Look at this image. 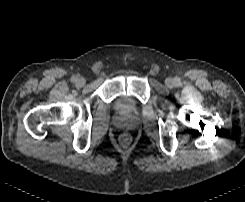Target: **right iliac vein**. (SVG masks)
Here are the masks:
<instances>
[{"label":"right iliac vein","mask_w":245,"mask_h":202,"mask_svg":"<svg viewBox=\"0 0 245 202\" xmlns=\"http://www.w3.org/2000/svg\"><path fill=\"white\" fill-rule=\"evenodd\" d=\"M85 83H86V80L82 77L78 78L76 81V85H78V86H83V85H85Z\"/></svg>","instance_id":"right-iliac-vein-1"}]
</instances>
